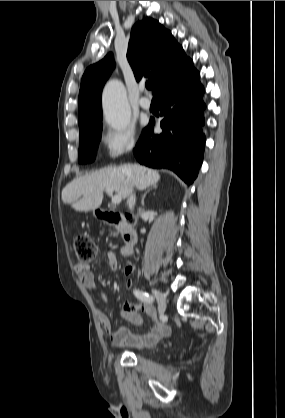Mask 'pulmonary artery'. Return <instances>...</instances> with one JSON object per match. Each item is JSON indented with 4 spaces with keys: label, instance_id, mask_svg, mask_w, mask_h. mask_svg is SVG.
I'll list each match as a JSON object with an SVG mask.
<instances>
[{
    "label": "pulmonary artery",
    "instance_id": "e3ab8cb5",
    "mask_svg": "<svg viewBox=\"0 0 285 418\" xmlns=\"http://www.w3.org/2000/svg\"><path fill=\"white\" fill-rule=\"evenodd\" d=\"M141 92H142L143 94H145V93H146V89H145V88H141ZM138 104H139V106H140L143 110H149V109H150V107H151V101H150V99H149L148 97H146V96H142V97L139 99Z\"/></svg>",
    "mask_w": 285,
    "mask_h": 418
}]
</instances>
